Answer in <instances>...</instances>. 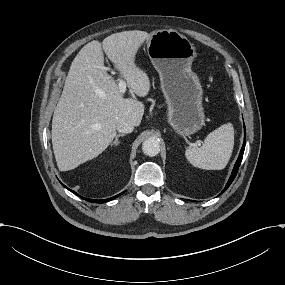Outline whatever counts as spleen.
I'll return each instance as SVG.
<instances>
[{
  "label": "spleen",
  "mask_w": 285,
  "mask_h": 285,
  "mask_svg": "<svg viewBox=\"0 0 285 285\" xmlns=\"http://www.w3.org/2000/svg\"><path fill=\"white\" fill-rule=\"evenodd\" d=\"M234 147V128L223 124L205 138L202 147L185 151L187 160L195 167L206 170H222L228 164Z\"/></svg>",
  "instance_id": "obj_1"
}]
</instances>
